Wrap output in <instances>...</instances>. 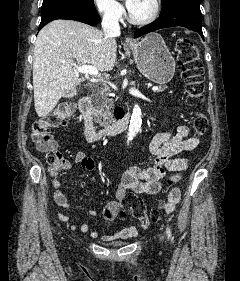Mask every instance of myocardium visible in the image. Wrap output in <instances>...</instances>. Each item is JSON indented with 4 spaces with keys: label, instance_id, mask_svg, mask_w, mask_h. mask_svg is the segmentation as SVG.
I'll list each match as a JSON object with an SVG mask.
<instances>
[{
    "label": "myocardium",
    "instance_id": "obj_1",
    "mask_svg": "<svg viewBox=\"0 0 240 281\" xmlns=\"http://www.w3.org/2000/svg\"><path fill=\"white\" fill-rule=\"evenodd\" d=\"M152 9L150 14L145 18H135L130 12L128 13V20L131 24L137 26H144L152 23L158 17L160 11V0H151Z\"/></svg>",
    "mask_w": 240,
    "mask_h": 281
}]
</instances>
